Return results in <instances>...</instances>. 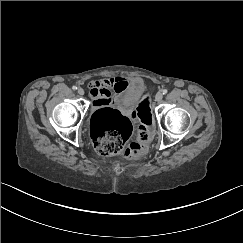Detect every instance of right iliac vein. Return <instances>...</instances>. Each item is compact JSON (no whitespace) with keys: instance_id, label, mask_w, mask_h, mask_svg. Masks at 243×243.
Returning <instances> with one entry per match:
<instances>
[{"instance_id":"right-iliac-vein-1","label":"right iliac vein","mask_w":243,"mask_h":243,"mask_svg":"<svg viewBox=\"0 0 243 243\" xmlns=\"http://www.w3.org/2000/svg\"><path fill=\"white\" fill-rule=\"evenodd\" d=\"M77 92H78V94L81 95V96L84 95V90H83L82 88H79Z\"/></svg>"}]
</instances>
